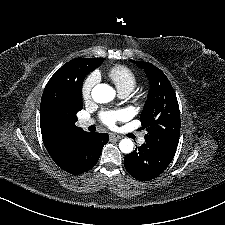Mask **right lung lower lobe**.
Wrapping results in <instances>:
<instances>
[{
  "label": "right lung lower lobe",
  "mask_w": 225,
  "mask_h": 225,
  "mask_svg": "<svg viewBox=\"0 0 225 225\" xmlns=\"http://www.w3.org/2000/svg\"><path fill=\"white\" fill-rule=\"evenodd\" d=\"M107 133H83L72 143L67 160L58 165L64 171L78 175L95 166L103 146L108 142Z\"/></svg>",
  "instance_id": "right-lung-lower-lobe-1"
}]
</instances>
